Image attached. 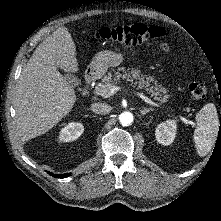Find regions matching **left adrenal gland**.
Instances as JSON below:
<instances>
[{
  "label": "left adrenal gland",
  "mask_w": 221,
  "mask_h": 221,
  "mask_svg": "<svg viewBox=\"0 0 221 221\" xmlns=\"http://www.w3.org/2000/svg\"><path fill=\"white\" fill-rule=\"evenodd\" d=\"M153 110H154L153 108H144V109L140 110V113L142 115H145L146 113L153 111Z\"/></svg>",
  "instance_id": "a2214340"
}]
</instances>
